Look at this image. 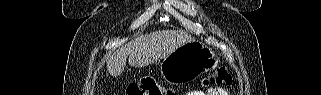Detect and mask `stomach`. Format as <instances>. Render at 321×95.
Here are the masks:
<instances>
[{
  "label": "stomach",
  "instance_id": "stomach-1",
  "mask_svg": "<svg viewBox=\"0 0 321 95\" xmlns=\"http://www.w3.org/2000/svg\"><path fill=\"white\" fill-rule=\"evenodd\" d=\"M219 65L215 51L200 41L183 44L164 57L160 72L170 84H178L196 79L204 72Z\"/></svg>",
  "mask_w": 321,
  "mask_h": 95
}]
</instances>
